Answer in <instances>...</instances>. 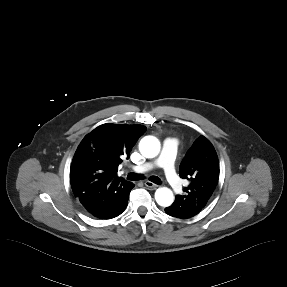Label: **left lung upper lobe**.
Wrapping results in <instances>:
<instances>
[{"label": "left lung upper lobe", "mask_w": 287, "mask_h": 287, "mask_svg": "<svg viewBox=\"0 0 287 287\" xmlns=\"http://www.w3.org/2000/svg\"><path fill=\"white\" fill-rule=\"evenodd\" d=\"M181 178L190 184L185 195H178L184 207L201 211L210 199L219 179V164L212 144L200 136L188 150L179 169Z\"/></svg>", "instance_id": "1"}]
</instances>
